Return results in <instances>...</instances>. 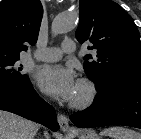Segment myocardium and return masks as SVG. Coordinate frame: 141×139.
Masks as SVG:
<instances>
[{
  "instance_id": "myocardium-1",
  "label": "myocardium",
  "mask_w": 141,
  "mask_h": 139,
  "mask_svg": "<svg viewBox=\"0 0 141 139\" xmlns=\"http://www.w3.org/2000/svg\"><path fill=\"white\" fill-rule=\"evenodd\" d=\"M77 87L80 90V95L71 101V107L78 110L90 107L98 96L96 84L87 78H83L78 81Z\"/></svg>"
}]
</instances>
